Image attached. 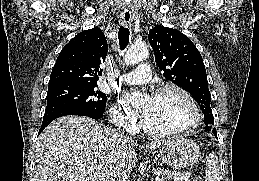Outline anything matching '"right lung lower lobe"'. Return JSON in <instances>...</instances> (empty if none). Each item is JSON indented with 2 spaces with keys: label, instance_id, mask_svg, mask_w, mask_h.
<instances>
[{
  "label": "right lung lower lobe",
  "instance_id": "obj_1",
  "mask_svg": "<svg viewBox=\"0 0 259 181\" xmlns=\"http://www.w3.org/2000/svg\"><path fill=\"white\" fill-rule=\"evenodd\" d=\"M66 115H82L93 119H101L103 117V113H95L87 110H81V109L65 110L60 112L59 114H56L55 116H52L50 118L43 120L39 133H41L50 122H52L56 118L66 116Z\"/></svg>",
  "mask_w": 259,
  "mask_h": 181
}]
</instances>
